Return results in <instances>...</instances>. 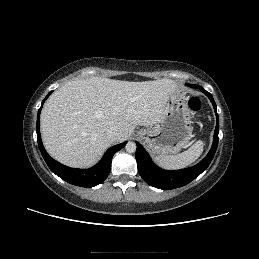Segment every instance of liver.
I'll return each mask as SVG.
<instances>
[{"label":"liver","mask_w":259,"mask_h":259,"mask_svg":"<svg viewBox=\"0 0 259 259\" xmlns=\"http://www.w3.org/2000/svg\"><path fill=\"white\" fill-rule=\"evenodd\" d=\"M175 86L170 79L69 81L49 97L42 110L44 146L67 166L90 167L113 143L129 138L136 126L156 125ZM110 127L120 132L116 141L106 137Z\"/></svg>","instance_id":"obj_1"}]
</instances>
